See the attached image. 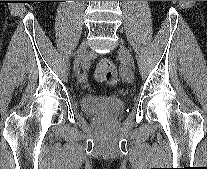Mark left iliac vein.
Here are the masks:
<instances>
[{
	"label": "left iliac vein",
	"mask_w": 207,
	"mask_h": 169,
	"mask_svg": "<svg viewBox=\"0 0 207 169\" xmlns=\"http://www.w3.org/2000/svg\"><path fill=\"white\" fill-rule=\"evenodd\" d=\"M119 54L122 57V59L131 67L133 66V58L129 52V50L124 46L120 45L119 47ZM124 78L128 83H132L134 81V73L131 68L126 67L124 70Z\"/></svg>",
	"instance_id": "obj_1"
}]
</instances>
